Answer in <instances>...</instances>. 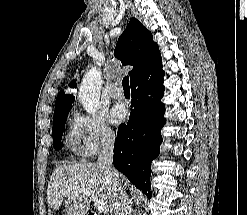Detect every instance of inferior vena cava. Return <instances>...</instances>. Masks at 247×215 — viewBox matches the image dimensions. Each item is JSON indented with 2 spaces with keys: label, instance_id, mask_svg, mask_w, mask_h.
Returning a JSON list of instances; mask_svg holds the SVG:
<instances>
[{
  "label": "inferior vena cava",
  "instance_id": "602c4592",
  "mask_svg": "<svg viewBox=\"0 0 247 215\" xmlns=\"http://www.w3.org/2000/svg\"><path fill=\"white\" fill-rule=\"evenodd\" d=\"M114 140L106 139L98 157V166L103 169L105 178L115 189L112 203V215H128V198L123 185L119 180V173L113 166Z\"/></svg>",
  "mask_w": 247,
  "mask_h": 215
}]
</instances>
